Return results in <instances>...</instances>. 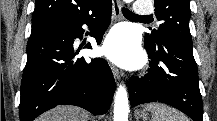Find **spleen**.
I'll use <instances>...</instances> for the list:
<instances>
[{
    "instance_id": "3e777b00",
    "label": "spleen",
    "mask_w": 217,
    "mask_h": 121,
    "mask_svg": "<svg viewBox=\"0 0 217 121\" xmlns=\"http://www.w3.org/2000/svg\"><path fill=\"white\" fill-rule=\"evenodd\" d=\"M146 109L152 112L153 121H188L185 115L164 104H149Z\"/></svg>"
}]
</instances>
